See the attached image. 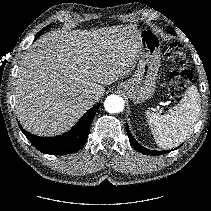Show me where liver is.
Masks as SVG:
<instances>
[{"mask_svg":"<svg viewBox=\"0 0 211 211\" xmlns=\"http://www.w3.org/2000/svg\"><path fill=\"white\" fill-rule=\"evenodd\" d=\"M140 32L134 26L52 31L22 57L15 80L17 116L38 136L72 128L90 108L87 94L129 75L137 61Z\"/></svg>","mask_w":211,"mask_h":211,"instance_id":"obj_1","label":"liver"}]
</instances>
